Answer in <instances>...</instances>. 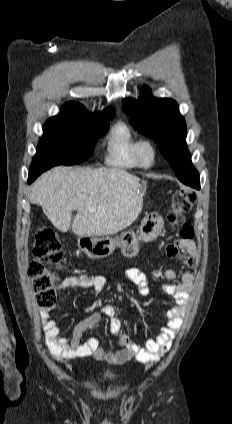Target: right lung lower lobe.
<instances>
[{
    "label": "right lung lower lobe",
    "mask_w": 232,
    "mask_h": 424,
    "mask_svg": "<svg viewBox=\"0 0 232 424\" xmlns=\"http://www.w3.org/2000/svg\"><path fill=\"white\" fill-rule=\"evenodd\" d=\"M38 176H29L28 183H32Z\"/></svg>",
    "instance_id": "obj_1"
}]
</instances>
